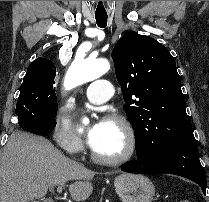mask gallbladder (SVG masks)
<instances>
[{
  "instance_id": "1",
  "label": "gallbladder",
  "mask_w": 209,
  "mask_h": 202,
  "mask_svg": "<svg viewBox=\"0 0 209 202\" xmlns=\"http://www.w3.org/2000/svg\"><path fill=\"white\" fill-rule=\"evenodd\" d=\"M32 202H40V201H32ZM43 202H53L51 198H45Z\"/></svg>"
}]
</instances>
